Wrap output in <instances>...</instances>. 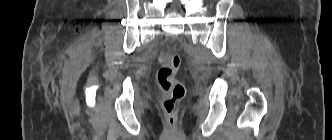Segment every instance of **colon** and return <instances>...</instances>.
Segmentation results:
<instances>
[{"label":"colon","instance_id":"colon-1","mask_svg":"<svg viewBox=\"0 0 332 140\" xmlns=\"http://www.w3.org/2000/svg\"><path fill=\"white\" fill-rule=\"evenodd\" d=\"M161 66L156 73V82L163 95L161 106L170 125L177 119L179 102L186 94L185 86L176 79L181 64L180 56L176 53H163L160 55Z\"/></svg>","mask_w":332,"mask_h":140}]
</instances>
